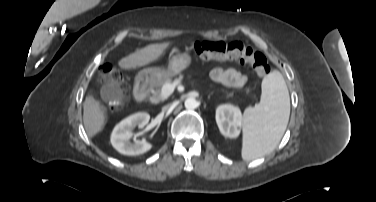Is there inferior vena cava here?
<instances>
[{"label":"inferior vena cava","mask_w":376,"mask_h":202,"mask_svg":"<svg viewBox=\"0 0 376 202\" xmlns=\"http://www.w3.org/2000/svg\"><path fill=\"white\" fill-rule=\"evenodd\" d=\"M168 108H169V106H165V107H163V111L168 110Z\"/></svg>","instance_id":"obj_1"}]
</instances>
